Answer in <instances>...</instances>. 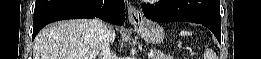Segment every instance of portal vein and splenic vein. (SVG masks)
Segmentation results:
<instances>
[{
    "mask_svg": "<svg viewBox=\"0 0 261 59\" xmlns=\"http://www.w3.org/2000/svg\"><path fill=\"white\" fill-rule=\"evenodd\" d=\"M154 56V53L153 52H150L149 54H148V57H150V58H152Z\"/></svg>",
    "mask_w": 261,
    "mask_h": 59,
    "instance_id": "obj_1",
    "label": "portal vein and splenic vein"
}]
</instances>
